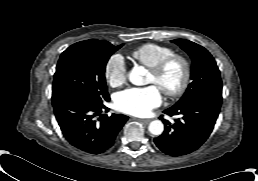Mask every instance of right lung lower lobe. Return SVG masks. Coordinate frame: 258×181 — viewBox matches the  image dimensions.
<instances>
[{
    "label": "right lung lower lobe",
    "instance_id": "right-lung-lower-lobe-1",
    "mask_svg": "<svg viewBox=\"0 0 258 181\" xmlns=\"http://www.w3.org/2000/svg\"><path fill=\"white\" fill-rule=\"evenodd\" d=\"M54 113L67 141L90 154H100L110 149L128 116L112 114L95 117L106 107L93 105L82 99L64 96L52 99Z\"/></svg>",
    "mask_w": 258,
    "mask_h": 181
}]
</instances>
